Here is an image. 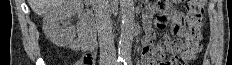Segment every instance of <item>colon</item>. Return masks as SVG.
<instances>
[{"label": "colon", "instance_id": "1", "mask_svg": "<svg viewBox=\"0 0 232 65\" xmlns=\"http://www.w3.org/2000/svg\"><path fill=\"white\" fill-rule=\"evenodd\" d=\"M176 0H158L159 11H168ZM205 0H190L187 4V29L184 41H174L164 43L160 46L158 58L162 62H171L177 65H188L195 62L201 51L202 42V21L205 13ZM169 50L172 54L169 59H164L163 53ZM85 63L91 62V57L84 58Z\"/></svg>", "mask_w": 232, "mask_h": 65}]
</instances>
